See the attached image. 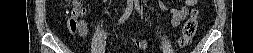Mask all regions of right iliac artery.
Instances as JSON below:
<instances>
[{"label": "right iliac artery", "instance_id": "1", "mask_svg": "<svg viewBox=\"0 0 253 53\" xmlns=\"http://www.w3.org/2000/svg\"><path fill=\"white\" fill-rule=\"evenodd\" d=\"M133 10V3L128 2V7L125 10V13L122 15V17L119 19L118 24L124 23L128 17L130 16L131 12Z\"/></svg>", "mask_w": 253, "mask_h": 53}]
</instances>
